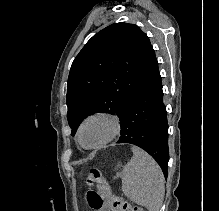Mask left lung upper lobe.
<instances>
[{"mask_svg": "<svg viewBox=\"0 0 219 211\" xmlns=\"http://www.w3.org/2000/svg\"><path fill=\"white\" fill-rule=\"evenodd\" d=\"M157 68L149 38L138 26L114 23L95 34L69 73L66 102L72 135L94 113L121 119L133 95Z\"/></svg>", "mask_w": 219, "mask_h": 211, "instance_id": "5c2ea615", "label": "left lung upper lobe"}]
</instances>
